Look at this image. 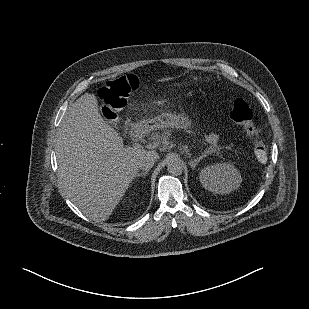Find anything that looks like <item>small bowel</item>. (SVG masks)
<instances>
[{
	"label": "small bowel",
	"mask_w": 309,
	"mask_h": 309,
	"mask_svg": "<svg viewBox=\"0 0 309 309\" xmlns=\"http://www.w3.org/2000/svg\"><path fill=\"white\" fill-rule=\"evenodd\" d=\"M219 137L216 134H209L205 137V140L209 144H216L218 142Z\"/></svg>",
	"instance_id": "c3829d8e"
}]
</instances>
